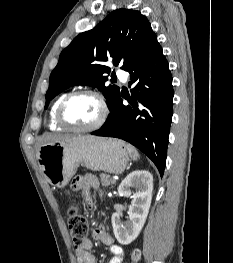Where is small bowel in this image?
<instances>
[{"mask_svg": "<svg viewBox=\"0 0 233 263\" xmlns=\"http://www.w3.org/2000/svg\"><path fill=\"white\" fill-rule=\"evenodd\" d=\"M72 188L74 190L81 191L89 206L92 208L94 205V197L91 193V189H99V181L94 175H84L74 178L72 182ZM93 238L101 241L108 247L109 251L113 254V257L108 263H123L125 252L124 249L115 243L114 238L108 233V230L104 224H100L93 232ZM93 243L87 239L84 243L76 248V257L78 263H97L96 257L91 253Z\"/></svg>", "mask_w": 233, "mask_h": 263, "instance_id": "1", "label": "small bowel"}]
</instances>
